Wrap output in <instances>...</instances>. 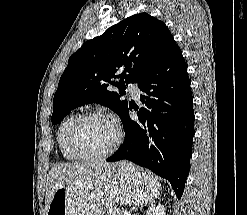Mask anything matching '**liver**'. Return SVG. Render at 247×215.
I'll return each mask as SVG.
<instances>
[{
	"label": "liver",
	"instance_id": "obj_1",
	"mask_svg": "<svg viewBox=\"0 0 247 215\" xmlns=\"http://www.w3.org/2000/svg\"><path fill=\"white\" fill-rule=\"evenodd\" d=\"M112 165L106 162L54 165L47 175L46 211L57 189L64 185L72 189H83Z\"/></svg>",
	"mask_w": 247,
	"mask_h": 215
}]
</instances>
